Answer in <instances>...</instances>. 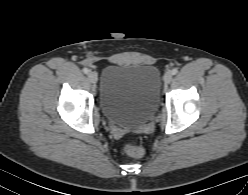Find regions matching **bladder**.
<instances>
[{
	"instance_id": "1",
	"label": "bladder",
	"mask_w": 248,
	"mask_h": 195,
	"mask_svg": "<svg viewBox=\"0 0 248 195\" xmlns=\"http://www.w3.org/2000/svg\"><path fill=\"white\" fill-rule=\"evenodd\" d=\"M161 95V75L153 65L107 67L100 78L99 105L106 119L135 129L154 114Z\"/></svg>"
}]
</instances>
